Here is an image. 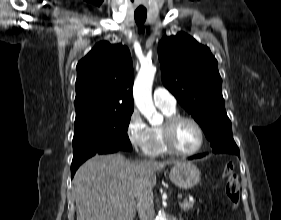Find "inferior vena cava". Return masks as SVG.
Segmentation results:
<instances>
[{
	"mask_svg": "<svg viewBox=\"0 0 281 220\" xmlns=\"http://www.w3.org/2000/svg\"><path fill=\"white\" fill-rule=\"evenodd\" d=\"M137 209L140 220H153L155 211L152 190L139 195L137 199Z\"/></svg>",
	"mask_w": 281,
	"mask_h": 220,
	"instance_id": "inferior-vena-cava-1",
	"label": "inferior vena cava"
}]
</instances>
